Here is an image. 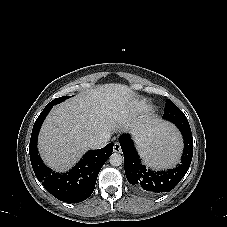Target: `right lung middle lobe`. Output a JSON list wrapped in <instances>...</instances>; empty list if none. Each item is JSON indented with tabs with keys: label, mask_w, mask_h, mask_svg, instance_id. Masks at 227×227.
<instances>
[{
	"label": "right lung middle lobe",
	"mask_w": 227,
	"mask_h": 227,
	"mask_svg": "<svg viewBox=\"0 0 227 227\" xmlns=\"http://www.w3.org/2000/svg\"><path fill=\"white\" fill-rule=\"evenodd\" d=\"M69 97L70 96H63V97L56 98V99L52 100L49 104L56 105L64 100L68 99Z\"/></svg>",
	"instance_id": "dd1d6c3e"
}]
</instances>
